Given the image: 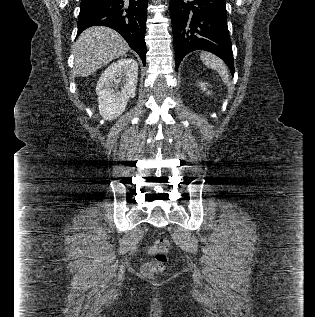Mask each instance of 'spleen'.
<instances>
[{"mask_svg": "<svg viewBox=\"0 0 315 317\" xmlns=\"http://www.w3.org/2000/svg\"><path fill=\"white\" fill-rule=\"evenodd\" d=\"M200 59L207 67L216 70L226 85L229 84L228 69L221 59L208 52H202Z\"/></svg>", "mask_w": 315, "mask_h": 317, "instance_id": "1", "label": "spleen"}]
</instances>
